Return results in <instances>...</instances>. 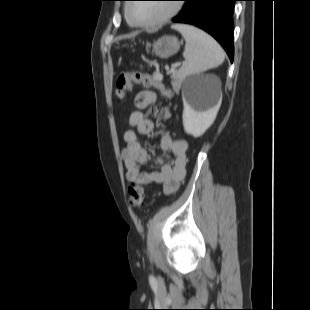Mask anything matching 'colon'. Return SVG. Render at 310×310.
Here are the masks:
<instances>
[{"mask_svg": "<svg viewBox=\"0 0 310 310\" xmlns=\"http://www.w3.org/2000/svg\"><path fill=\"white\" fill-rule=\"evenodd\" d=\"M134 85L146 88H156L162 96L171 98L173 92L167 89L158 73H147L140 70L120 72L115 80V93L118 99H125ZM130 203L135 208H140L144 203L145 189L142 185L132 182L128 187Z\"/></svg>", "mask_w": 310, "mask_h": 310, "instance_id": "5ec220e1", "label": "colon"}]
</instances>
